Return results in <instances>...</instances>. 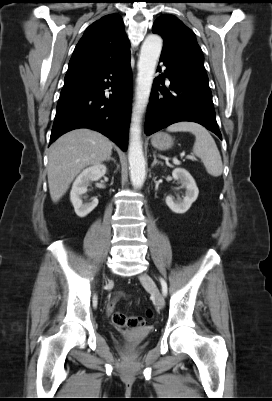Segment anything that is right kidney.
<instances>
[{"label": "right kidney", "mask_w": 272, "mask_h": 401, "mask_svg": "<svg viewBox=\"0 0 272 401\" xmlns=\"http://www.w3.org/2000/svg\"><path fill=\"white\" fill-rule=\"evenodd\" d=\"M107 172V168L103 164H95L85 170L76 178L73 183L70 200L74 207L75 213L79 217L87 216L97 205L98 199L93 198L89 203H83L82 197L87 192V187L92 181L99 180Z\"/></svg>", "instance_id": "right-kidney-1"}]
</instances>
